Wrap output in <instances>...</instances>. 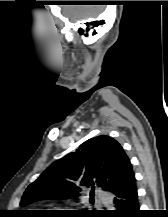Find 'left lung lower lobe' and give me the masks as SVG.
<instances>
[{"instance_id":"obj_1","label":"left lung lower lobe","mask_w":168,"mask_h":217,"mask_svg":"<svg viewBox=\"0 0 168 217\" xmlns=\"http://www.w3.org/2000/svg\"><path fill=\"white\" fill-rule=\"evenodd\" d=\"M112 202L116 210L104 214L113 217H138L139 203L134 172L122 187L112 192Z\"/></svg>"}]
</instances>
